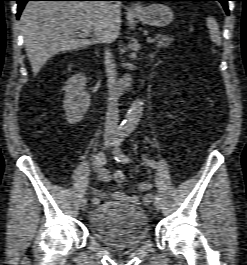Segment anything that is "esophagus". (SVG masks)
Listing matches in <instances>:
<instances>
[{"label":"esophagus","instance_id":"34e87169","mask_svg":"<svg viewBox=\"0 0 247 265\" xmlns=\"http://www.w3.org/2000/svg\"><path fill=\"white\" fill-rule=\"evenodd\" d=\"M140 9V6L138 5V4H133L132 6H131V8H130V10H132V11H137V10H139Z\"/></svg>","mask_w":247,"mask_h":265}]
</instances>
